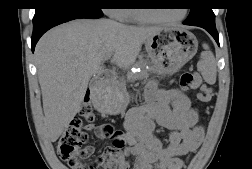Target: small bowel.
<instances>
[{
    "instance_id": "obj_1",
    "label": "small bowel",
    "mask_w": 252,
    "mask_h": 169,
    "mask_svg": "<svg viewBox=\"0 0 252 169\" xmlns=\"http://www.w3.org/2000/svg\"><path fill=\"white\" fill-rule=\"evenodd\" d=\"M197 122V112L184 91L158 89L150 83L146 104L126 114L122 133L126 147H109L105 168L130 169L129 158L133 157V169H182L181 156L194 152L203 140L204 131ZM156 125L170 131L166 146L153 134ZM86 129L97 133L98 126L91 123Z\"/></svg>"
}]
</instances>
